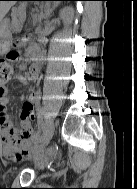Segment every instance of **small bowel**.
<instances>
[{
    "mask_svg": "<svg viewBox=\"0 0 137 189\" xmlns=\"http://www.w3.org/2000/svg\"><path fill=\"white\" fill-rule=\"evenodd\" d=\"M41 67L40 62L34 63L30 66L27 75L18 74L15 79L22 85H26L31 80H37ZM39 99V90L33 89L21 107L19 113L21 127L17 129L7 113L10 94L6 87H0V140L5 156L20 159L29 154L34 136L32 127L33 107L39 102Z\"/></svg>",
    "mask_w": 137,
    "mask_h": 189,
    "instance_id": "small-bowel-1",
    "label": "small bowel"
}]
</instances>
